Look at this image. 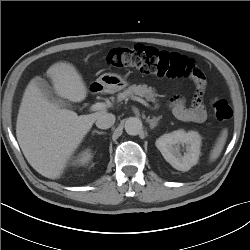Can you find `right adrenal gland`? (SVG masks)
<instances>
[{"mask_svg": "<svg viewBox=\"0 0 250 250\" xmlns=\"http://www.w3.org/2000/svg\"><path fill=\"white\" fill-rule=\"evenodd\" d=\"M93 133H97V134H99V135H103V134H105V132H102V131H97V130H94V131H93Z\"/></svg>", "mask_w": 250, "mask_h": 250, "instance_id": "obj_1", "label": "right adrenal gland"}]
</instances>
